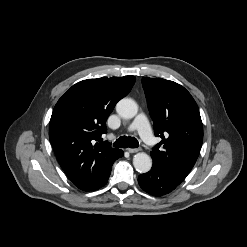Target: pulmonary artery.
<instances>
[{"label":"pulmonary artery","mask_w":247,"mask_h":247,"mask_svg":"<svg viewBox=\"0 0 247 247\" xmlns=\"http://www.w3.org/2000/svg\"><path fill=\"white\" fill-rule=\"evenodd\" d=\"M129 130H136L147 145L154 146L156 144V139L152 133L147 117L144 114H139L135 118Z\"/></svg>","instance_id":"1"}]
</instances>
